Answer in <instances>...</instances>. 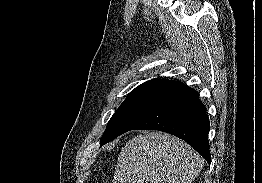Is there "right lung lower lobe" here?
<instances>
[{"label":"right lung lower lobe","mask_w":262,"mask_h":183,"mask_svg":"<svg viewBox=\"0 0 262 183\" xmlns=\"http://www.w3.org/2000/svg\"><path fill=\"white\" fill-rule=\"evenodd\" d=\"M198 92L178 81L160 89L146 107L125 127L134 130H160L191 145L210 164L209 118Z\"/></svg>","instance_id":"right-lung-lower-lobe-1"}]
</instances>
